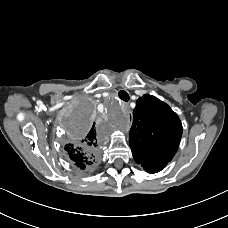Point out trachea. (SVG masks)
Returning <instances> with one entry per match:
<instances>
[{
    "label": "trachea",
    "instance_id": "trachea-1",
    "mask_svg": "<svg viewBox=\"0 0 228 228\" xmlns=\"http://www.w3.org/2000/svg\"><path fill=\"white\" fill-rule=\"evenodd\" d=\"M118 96L121 100L125 101V102H128L129 101V94L124 91V90H121L118 92Z\"/></svg>",
    "mask_w": 228,
    "mask_h": 228
}]
</instances>
